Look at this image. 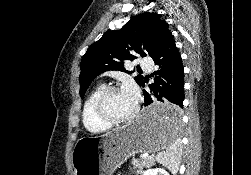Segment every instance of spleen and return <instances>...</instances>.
Here are the masks:
<instances>
[{
  "label": "spleen",
  "instance_id": "spleen-1",
  "mask_svg": "<svg viewBox=\"0 0 251 175\" xmlns=\"http://www.w3.org/2000/svg\"><path fill=\"white\" fill-rule=\"evenodd\" d=\"M178 111L179 109H176V111L173 109V111L168 113L167 117L163 119L162 131L164 137H167L168 147H166L165 151L158 153L156 157V161L166 165V167L172 171L173 175H176L179 169L182 153V143L178 139L179 117L181 113H178Z\"/></svg>",
  "mask_w": 251,
  "mask_h": 175
}]
</instances>
